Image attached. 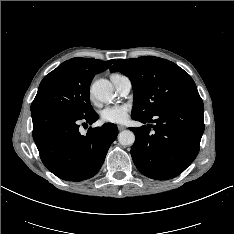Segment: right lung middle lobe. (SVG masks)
<instances>
[{"instance_id": "right-lung-middle-lobe-1", "label": "right lung middle lobe", "mask_w": 234, "mask_h": 234, "mask_svg": "<svg viewBox=\"0 0 234 234\" xmlns=\"http://www.w3.org/2000/svg\"><path fill=\"white\" fill-rule=\"evenodd\" d=\"M90 84L91 81L61 64L41 81L31 111L56 108L75 115L91 113L94 110L89 100Z\"/></svg>"}]
</instances>
